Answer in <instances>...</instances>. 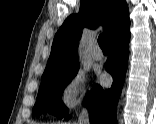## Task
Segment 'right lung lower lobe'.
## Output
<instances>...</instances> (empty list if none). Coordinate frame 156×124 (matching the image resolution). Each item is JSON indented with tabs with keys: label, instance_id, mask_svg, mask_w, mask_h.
<instances>
[{
	"label": "right lung lower lobe",
	"instance_id": "98d812e1",
	"mask_svg": "<svg viewBox=\"0 0 156 124\" xmlns=\"http://www.w3.org/2000/svg\"><path fill=\"white\" fill-rule=\"evenodd\" d=\"M129 29L109 42L110 54L105 69L114 81L110 89L103 90L99 85L92 89L84 101L89 110L91 124H116V106L126 75L129 55ZM65 119H69L66 116Z\"/></svg>",
	"mask_w": 156,
	"mask_h": 124
}]
</instances>
